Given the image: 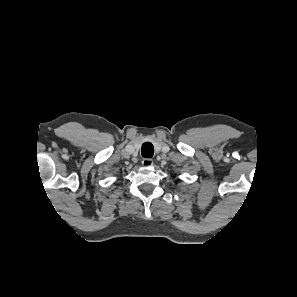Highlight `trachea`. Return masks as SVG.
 I'll return each mask as SVG.
<instances>
[{"instance_id":"trachea-1","label":"trachea","mask_w":297,"mask_h":297,"mask_svg":"<svg viewBox=\"0 0 297 297\" xmlns=\"http://www.w3.org/2000/svg\"><path fill=\"white\" fill-rule=\"evenodd\" d=\"M154 154V147L150 142H145L142 145V156L145 158H150Z\"/></svg>"}]
</instances>
